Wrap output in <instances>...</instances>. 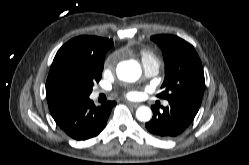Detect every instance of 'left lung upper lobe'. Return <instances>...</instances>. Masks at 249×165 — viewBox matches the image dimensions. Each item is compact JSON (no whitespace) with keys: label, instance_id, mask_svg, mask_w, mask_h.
<instances>
[{"label":"left lung upper lobe","instance_id":"5c2ea615","mask_svg":"<svg viewBox=\"0 0 249 165\" xmlns=\"http://www.w3.org/2000/svg\"><path fill=\"white\" fill-rule=\"evenodd\" d=\"M151 39L161 48L165 62L163 90L158 97L200 106L205 79L202 63L194 47L174 35H155Z\"/></svg>","mask_w":249,"mask_h":165}]
</instances>
